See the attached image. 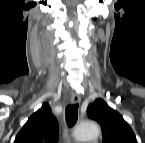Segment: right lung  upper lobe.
Wrapping results in <instances>:
<instances>
[{
	"label": "right lung upper lobe",
	"mask_w": 145,
	"mask_h": 143,
	"mask_svg": "<svg viewBox=\"0 0 145 143\" xmlns=\"http://www.w3.org/2000/svg\"><path fill=\"white\" fill-rule=\"evenodd\" d=\"M58 122L52 115L48 103L32 114L17 134L15 143H56L58 140Z\"/></svg>",
	"instance_id": "cb5924a9"
}]
</instances>
